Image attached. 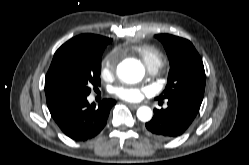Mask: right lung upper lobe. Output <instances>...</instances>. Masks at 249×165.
Returning a JSON list of instances; mask_svg holds the SVG:
<instances>
[{"instance_id": "obj_1", "label": "right lung upper lobe", "mask_w": 249, "mask_h": 165, "mask_svg": "<svg viewBox=\"0 0 249 165\" xmlns=\"http://www.w3.org/2000/svg\"><path fill=\"white\" fill-rule=\"evenodd\" d=\"M72 41H82V42H87V43H91L94 45L106 46L107 44L111 42V39L107 37L99 36V35L82 34V35H79V36H76L70 39L68 42H72ZM45 93L46 95H49L54 92L45 86Z\"/></svg>"}]
</instances>
